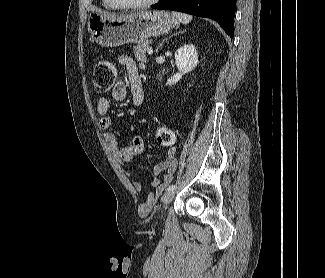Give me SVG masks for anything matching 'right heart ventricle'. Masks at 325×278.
Returning <instances> with one entry per match:
<instances>
[{"mask_svg": "<svg viewBox=\"0 0 325 278\" xmlns=\"http://www.w3.org/2000/svg\"><path fill=\"white\" fill-rule=\"evenodd\" d=\"M103 6L108 10H117L119 7H117L111 0H102Z\"/></svg>", "mask_w": 325, "mask_h": 278, "instance_id": "e07e8e85", "label": "right heart ventricle"}]
</instances>
